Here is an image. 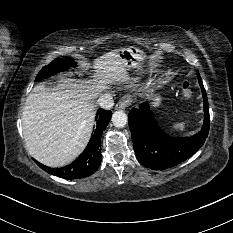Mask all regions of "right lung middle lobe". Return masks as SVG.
Masks as SVG:
<instances>
[{"label": "right lung middle lobe", "instance_id": "1", "mask_svg": "<svg viewBox=\"0 0 233 233\" xmlns=\"http://www.w3.org/2000/svg\"><path fill=\"white\" fill-rule=\"evenodd\" d=\"M70 66H76L71 59H56L53 60L49 65L44 66L36 77V81L52 76L60 71L67 70Z\"/></svg>", "mask_w": 233, "mask_h": 233}]
</instances>
